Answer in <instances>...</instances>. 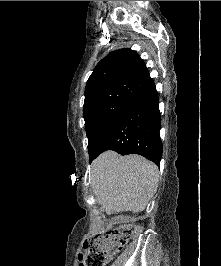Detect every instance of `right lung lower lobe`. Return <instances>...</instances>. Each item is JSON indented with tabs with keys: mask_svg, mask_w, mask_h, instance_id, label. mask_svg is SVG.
Returning a JSON list of instances; mask_svg holds the SVG:
<instances>
[{
	"mask_svg": "<svg viewBox=\"0 0 221 266\" xmlns=\"http://www.w3.org/2000/svg\"><path fill=\"white\" fill-rule=\"evenodd\" d=\"M159 98L153 80L131 99L115 124L104 136L90 162L106 150L122 155L140 154L159 165L162 156Z\"/></svg>",
	"mask_w": 221,
	"mask_h": 266,
	"instance_id": "98d812e1",
	"label": "right lung lower lobe"
}]
</instances>
